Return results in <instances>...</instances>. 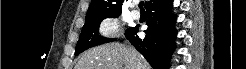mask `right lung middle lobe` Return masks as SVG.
Returning <instances> with one entry per match:
<instances>
[{"instance_id": "right-lung-middle-lobe-1", "label": "right lung middle lobe", "mask_w": 246, "mask_h": 69, "mask_svg": "<svg viewBox=\"0 0 246 69\" xmlns=\"http://www.w3.org/2000/svg\"><path fill=\"white\" fill-rule=\"evenodd\" d=\"M119 15H113L108 17H118ZM107 18V17H104ZM85 21L84 27L81 31L79 41L77 42L75 55L83 52L84 50L94 47L100 44L115 41V39L103 38L98 35L100 22L104 19Z\"/></svg>"}]
</instances>
